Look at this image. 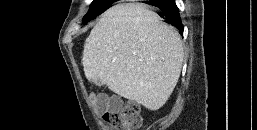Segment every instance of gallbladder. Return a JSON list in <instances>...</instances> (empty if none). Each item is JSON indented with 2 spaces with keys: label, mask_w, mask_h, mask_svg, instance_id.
<instances>
[{
  "label": "gallbladder",
  "mask_w": 257,
  "mask_h": 130,
  "mask_svg": "<svg viewBox=\"0 0 257 130\" xmlns=\"http://www.w3.org/2000/svg\"><path fill=\"white\" fill-rule=\"evenodd\" d=\"M93 83L97 86H102L103 85V82H101L100 80H97V81H93Z\"/></svg>",
  "instance_id": "1"
}]
</instances>
